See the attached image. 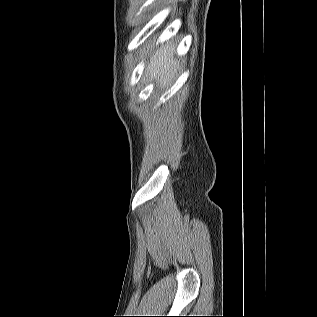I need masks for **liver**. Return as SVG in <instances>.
Returning <instances> with one entry per match:
<instances>
[{
    "label": "liver",
    "mask_w": 317,
    "mask_h": 317,
    "mask_svg": "<svg viewBox=\"0 0 317 317\" xmlns=\"http://www.w3.org/2000/svg\"><path fill=\"white\" fill-rule=\"evenodd\" d=\"M177 67L178 60L174 58V47L167 43L150 54L145 72L151 80L155 79L164 87L174 78Z\"/></svg>",
    "instance_id": "obj_1"
}]
</instances>
